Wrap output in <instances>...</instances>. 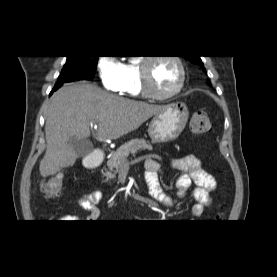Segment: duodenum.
<instances>
[{"mask_svg": "<svg viewBox=\"0 0 277 277\" xmlns=\"http://www.w3.org/2000/svg\"><path fill=\"white\" fill-rule=\"evenodd\" d=\"M104 160V155L99 150H93L84 160V166L87 169L99 168Z\"/></svg>", "mask_w": 277, "mask_h": 277, "instance_id": "obj_1", "label": "duodenum"}]
</instances>
